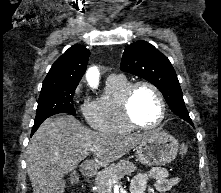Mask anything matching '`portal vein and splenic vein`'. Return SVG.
I'll return each mask as SVG.
<instances>
[{
  "instance_id": "18ae733b",
  "label": "portal vein and splenic vein",
  "mask_w": 221,
  "mask_h": 193,
  "mask_svg": "<svg viewBox=\"0 0 221 193\" xmlns=\"http://www.w3.org/2000/svg\"><path fill=\"white\" fill-rule=\"evenodd\" d=\"M90 150H91V152H96V151H97V148H91ZM113 181H114V180H113Z\"/></svg>"
}]
</instances>
